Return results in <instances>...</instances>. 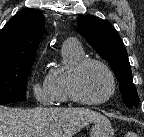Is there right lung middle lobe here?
<instances>
[{
  "mask_svg": "<svg viewBox=\"0 0 144 137\" xmlns=\"http://www.w3.org/2000/svg\"><path fill=\"white\" fill-rule=\"evenodd\" d=\"M35 59L0 63V105L26 98V81Z\"/></svg>",
  "mask_w": 144,
  "mask_h": 137,
  "instance_id": "1",
  "label": "right lung middle lobe"
}]
</instances>
